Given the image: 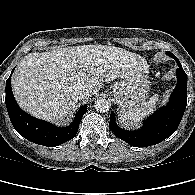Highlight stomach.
Wrapping results in <instances>:
<instances>
[{"label": "stomach", "instance_id": "1", "mask_svg": "<svg viewBox=\"0 0 195 195\" xmlns=\"http://www.w3.org/2000/svg\"><path fill=\"white\" fill-rule=\"evenodd\" d=\"M149 85L148 65H138L129 77L111 87V93L124 111L130 110L144 103L149 92Z\"/></svg>", "mask_w": 195, "mask_h": 195}]
</instances>
